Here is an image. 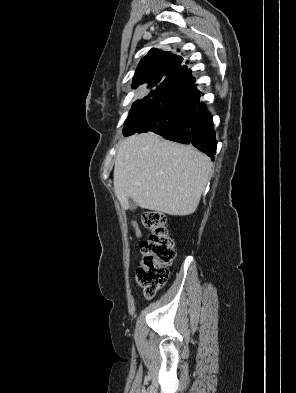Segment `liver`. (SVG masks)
<instances>
[{"instance_id":"1","label":"liver","mask_w":296,"mask_h":393,"mask_svg":"<svg viewBox=\"0 0 296 393\" xmlns=\"http://www.w3.org/2000/svg\"><path fill=\"white\" fill-rule=\"evenodd\" d=\"M213 164L203 153L141 133L120 140L114 167V190L121 205L131 198L143 209L169 215L192 214L208 183Z\"/></svg>"}]
</instances>
